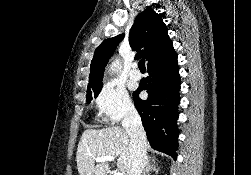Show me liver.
I'll use <instances>...</instances> for the list:
<instances>
[{"mask_svg":"<svg viewBox=\"0 0 251 175\" xmlns=\"http://www.w3.org/2000/svg\"><path fill=\"white\" fill-rule=\"evenodd\" d=\"M130 135L125 127L85 129L77 147L76 161L79 175H105L110 169L109 161L95 163L94 157L113 155L118 157V169L126 175L130 157Z\"/></svg>","mask_w":251,"mask_h":175,"instance_id":"1","label":"liver"}]
</instances>
